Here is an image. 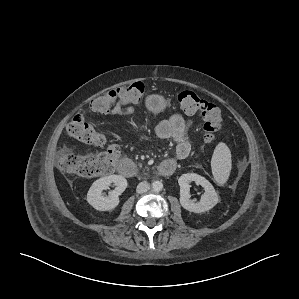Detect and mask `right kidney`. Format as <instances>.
Returning a JSON list of instances; mask_svg holds the SVG:
<instances>
[{
    "label": "right kidney",
    "instance_id": "1",
    "mask_svg": "<svg viewBox=\"0 0 299 299\" xmlns=\"http://www.w3.org/2000/svg\"><path fill=\"white\" fill-rule=\"evenodd\" d=\"M115 185L108 196L103 195V190ZM127 188V180L121 175H109L96 180L88 190L87 202L99 211L113 210L119 204V195Z\"/></svg>",
    "mask_w": 299,
    "mask_h": 299
}]
</instances>
